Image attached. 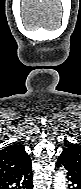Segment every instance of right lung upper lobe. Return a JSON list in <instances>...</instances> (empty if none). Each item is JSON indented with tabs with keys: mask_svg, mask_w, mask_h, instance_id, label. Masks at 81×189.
<instances>
[{
	"mask_svg": "<svg viewBox=\"0 0 81 189\" xmlns=\"http://www.w3.org/2000/svg\"><path fill=\"white\" fill-rule=\"evenodd\" d=\"M30 161L23 146L12 144L0 151V177L8 175Z\"/></svg>",
	"mask_w": 81,
	"mask_h": 189,
	"instance_id": "cb5924a9",
	"label": "right lung upper lobe"
}]
</instances>
